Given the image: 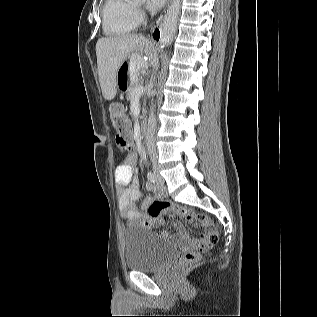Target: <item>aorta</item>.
I'll return each instance as SVG.
<instances>
[{
    "instance_id": "aorta-1",
    "label": "aorta",
    "mask_w": 317,
    "mask_h": 317,
    "mask_svg": "<svg viewBox=\"0 0 317 317\" xmlns=\"http://www.w3.org/2000/svg\"><path fill=\"white\" fill-rule=\"evenodd\" d=\"M141 1V0H139ZM175 29V20L168 18L162 26V32L165 34H172Z\"/></svg>"
}]
</instances>
